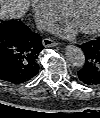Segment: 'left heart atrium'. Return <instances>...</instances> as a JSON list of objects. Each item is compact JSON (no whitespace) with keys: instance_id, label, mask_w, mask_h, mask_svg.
Here are the masks:
<instances>
[{"instance_id":"obj_1","label":"left heart atrium","mask_w":100,"mask_h":118,"mask_svg":"<svg viewBox=\"0 0 100 118\" xmlns=\"http://www.w3.org/2000/svg\"><path fill=\"white\" fill-rule=\"evenodd\" d=\"M76 27L73 24L66 25L61 28H56V32L63 37H72L76 33Z\"/></svg>"}]
</instances>
